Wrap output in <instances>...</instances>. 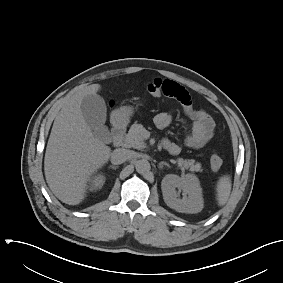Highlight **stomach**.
Instances as JSON below:
<instances>
[{
  "label": "stomach",
  "mask_w": 283,
  "mask_h": 283,
  "mask_svg": "<svg viewBox=\"0 0 283 283\" xmlns=\"http://www.w3.org/2000/svg\"><path fill=\"white\" fill-rule=\"evenodd\" d=\"M133 112H134L133 108L130 106H125V107L120 108L116 112L117 122L120 124L127 123L129 121V118L132 116Z\"/></svg>",
  "instance_id": "stomach-1"
}]
</instances>
